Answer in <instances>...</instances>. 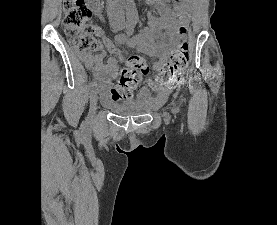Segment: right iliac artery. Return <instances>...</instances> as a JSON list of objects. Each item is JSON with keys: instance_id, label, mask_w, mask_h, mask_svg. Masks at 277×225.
Segmentation results:
<instances>
[{"instance_id": "1", "label": "right iliac artery", "mask_w": 277, "mask_h": 225, "mask_svg": "<svg viewBox=\"0 0 277 225\" xmlns=\"http://www.w3.org/2000/svg\"><path fill=\"white\" fill-rule=\"evenodd\" d=\"M135 25H136V21H134V20L128 21L127 26H126V34L128 36L132 35V33L134 31V28H135ZM94 89H95V85L93 83H91L89 85V90L93 92Z\"/></svg>"}]
</instances>
